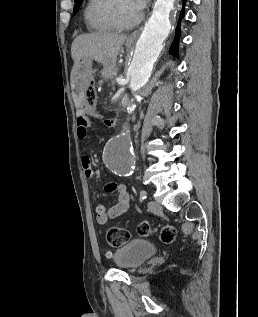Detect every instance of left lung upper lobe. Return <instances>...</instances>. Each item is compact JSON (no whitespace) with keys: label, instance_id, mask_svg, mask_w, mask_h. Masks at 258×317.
I'll return each mask as SVG.
<instances>
[{"label":"left lung upper lobe","instance_id":"1","mask_svg":"<svg viewBox=\"0 0 258 317\" xmlns=\"http://www.w3.org/2000/svg\"><path fill=\"white\" fill-rule=\"evenodd\" d=\"M81 2H82V0H75V6H74L73 14H76V12L78 11V8H79Z\"/></svg>","mask_w":258,"mask_h":317}]
</instances>
